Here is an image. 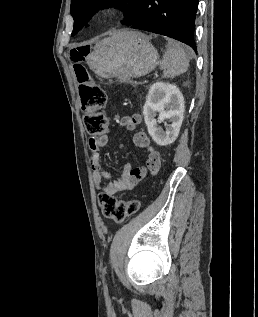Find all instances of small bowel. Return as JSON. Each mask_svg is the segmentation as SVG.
<instances>
[{
  "label": "small bowel",
  "mask_w": 258,
  "mask_h": 317,
  "mask_svg": "<svg viewBox=\"0 0 258 317\" xmlns=\"http://www.w3.org/2000/svg\"><path fill=\"white\" fill-rule=\"evenodd\" d=\"M142 122L139 114L124 116L118 120L120 126L127 130H135ZM108 135L92 136L89 140V158L92 168V179L95 187L102 193L114 195L117 192L132 190L147 175H154L159 171L161 159L159 152L152 145L148 135L139 131L133 136V143L146 152V164L142 167L133 168L126 163L119 177L114 178L105 170L101 162L100 150L107 144Z\"/></svg>",
  "instance_id": "obj_1"
}]
</instances>
